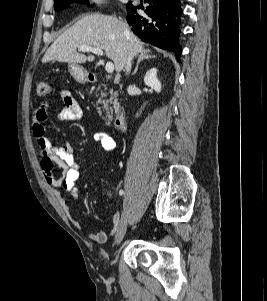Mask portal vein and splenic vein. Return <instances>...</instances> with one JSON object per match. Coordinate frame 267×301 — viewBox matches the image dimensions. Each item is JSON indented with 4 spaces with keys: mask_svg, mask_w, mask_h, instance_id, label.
Segmentation results:
<instances>
[{
    "mask_svg": "<svg viewBox=\"0 0 267 301\" xmlns=\"http://www.w3.org/2000/svg\"><path fill=\"white\" fill-rule=\"evenodd\" d=\"M79 51L82 52H93L97 55H103V51L99 48H94L91 46H81L78 48ZM105 69L107 71V73H112L114 71V64L112 62H107Z\"/></svg>",
    "mask_w": 267,
    "mask_h": 301,
    "instance_id": "18ae733b",
    "label": "portal vein and splenic vein"
}]
</instances>
